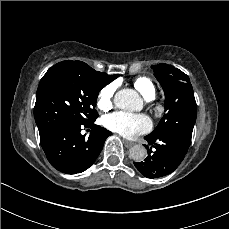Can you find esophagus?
Returning <instances> with one entry per match:
<instances>
[{"mask_svg": "<svg viewBox=\"0 0 229 229\" xmlns=\"http://www.w3.org/2000/svg\"><path fill=\"white\" fill-rule=\"evenodd\" d=\"M123 143H124L126 148H131L134 145L133 142L128 141V140H123Z\"/></svg>", "mask_w": 229, "mask_h": 229, "instance_id": "esophagus-1", "label": "esophagus"}]
</instances>
